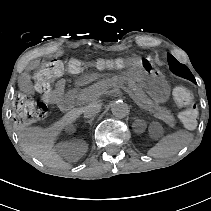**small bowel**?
Returning <instances> with one entry per match:
<instances>
[{"instance_id":"small-bowel-1","label":"small bowel","mask_w":211,"mask_h":211,"mask_svg":"<svg viewBox=\"0 0 211 211\" xmlns=\"http://www.w3.org/2000/svg\"><path fill=\"white\" fill-rule=\"evenodd\" d=\"M55 55L59 56L60 52H56ZM38 65H39V62L33 61L26 67V71L23 74L22 79H21V83H20V86H21L22 90H24L26 92H31L32 91V85H31V81H30V73L35 68H37ZM65 84L66 83H65L64 79H59L55 83L53 89L49 93L43 95L44 100L49 102V103H52V104H58L60 99L64 95Z\"/></svg>"}]
</instances>
